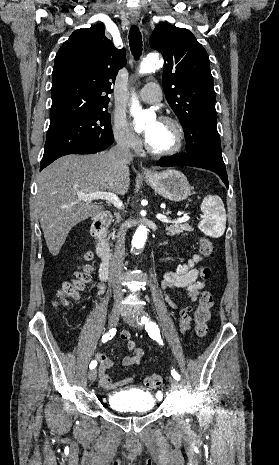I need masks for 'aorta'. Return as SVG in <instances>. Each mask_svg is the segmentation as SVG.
Listing matches in <instances>:
<instances>
[{
	"mask_svg": "<svg viewBox=\"0 0 279 465\" xmlns=\"http://www.w3.org/2000/svg\"><path fill=\"white\" fill-rule=\"evenodd\" d=\"M159 59L158 56L155 54L147 56L141 63L140 66V74L150 73L152 72L156 64H158ZM131 113L135 119L136 129L140 130L145 125V122L149 118L148 112L142 110L139 102L137 100H133L131 106ZM147 239V229L145 226L141 225L137 228L133 239H132V247L135 249H140L144 246L145 241Z\"/></svg>",
	"mask_w": 279,
	"mask_h": 465,
	"instance_id": "aorta-1",
	"label": "aorta"
}]
</instances>
